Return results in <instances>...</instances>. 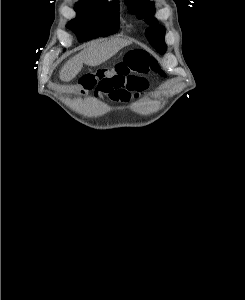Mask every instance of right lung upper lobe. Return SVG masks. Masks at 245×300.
Wrapping results in <instances>:
<instances>
[{"label": "right lung upper lobe", "mask_w": 245, "mask_h": 300, "mask_svg": "<svg viewBox=\"0 0 245 300\" xmlns=\"http://www.w3.org/2000/svg\"><path fill=\"white\" fill-rule=\"evenodd\" d=\"M81 1H103V0H81Z\"/></svg>", "instance_id": "obj_1"}]
</instances>
